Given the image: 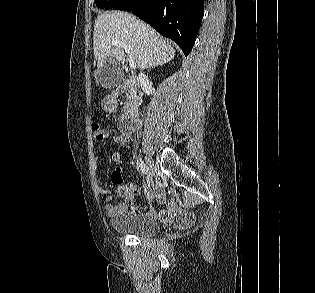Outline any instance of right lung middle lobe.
<instances>
[{
	"mask_svg": "<svg viewBox=\"0 0 315 293\" xmlns=\"http://www.w3.org/2000/svg\"><path fill=\"white\" fill-rule=\"evenodd\" d=\"M123 0H95L96 6L98 8L109 9L115 7L117 4L122 2Z\"/></svg>",
	"mask_w": 315,
	"mask_h": 293,
	"instance_id": "1",
	"label": "right lung middle lobe"
}]
</instances>
